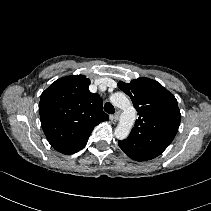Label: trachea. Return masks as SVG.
Instances as JSON below:
<instances>
[{
	"mask_svg": "<svg viewBox=\"0 0 211 211\" xmlns=\"http://www.w3.org/2000/svg\"><path fill=\"white\" fill-rule=\"evenodd\" d=\"M104 111H105L106 113H108V114H114L115 108H114V106H113L111 103L107 102V103L104 105Z\"/></svg>",
	"mask_w": 211,
	"mask_h": 211,
	"instance_id": "obj_1",
	"label": "trachea"
}]
</instances>
